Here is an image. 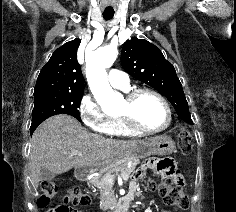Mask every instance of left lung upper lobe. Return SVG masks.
<instances>
[{
	"label": "left lung upper lobe",
	"instance_id": "1",
	"mask_svg": "<svg viewBox=\"0 0 236 212\" xmlns=\"http://www.w3.org/2000/svg\"><path fill=\"white\" fill-rule=\"evenodd\" d=\"M121 64L132 77L167 97L178 118L191 124L192 119L181 82L174 66L164 58L158 47L147 40L133 37L123 44Z\"/></svg>",
	"mask_w": 236,
	"mask_h": 212
}]
</instances>
